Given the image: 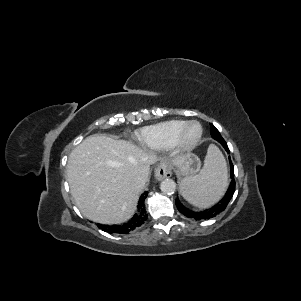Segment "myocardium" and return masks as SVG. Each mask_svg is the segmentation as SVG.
<instances>
[{
    "label": "myocardium",
    "mask_w": 301,
    "mask_h": 301,
    "mask_svg": "<svg viewBox=\"0 0 301 301\" xmlns=\"http://www.w3.org/2000/svg\"><path fill=\"white\" fill-rule=\"evenodd\" d=\"M197 126L198 134L193 139H188L187 134L191 127ZM203 137V127L198 121H189L179 131L172 145L170 146L176 153H187L192 151Z\"/></svg>",
    "instance_id": "1"
}]
</instances>
